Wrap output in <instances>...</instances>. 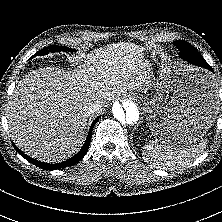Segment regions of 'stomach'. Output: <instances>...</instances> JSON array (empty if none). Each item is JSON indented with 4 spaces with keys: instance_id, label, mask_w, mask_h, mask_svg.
I'll return each mask as SVG.
<instances>
[{
    "instance_id": "1",
    "label": "stomach",
    "mask_w": 222,
    "mask_h": 222,
    "mask_svg": "<svg viewBox=\"0 0 222 222\" xmlns=\"http://www.w3.org/2000/svg\"><path fill=\"white\" fill-rule=\"evenodd\" d=\"M149 58L158 74L157 95L145 101L152 135L170 145L198 141L211 128L218 113L212 77L197 68L170 67L158 49H152Z\"/></svg>"
}]
</instances>
